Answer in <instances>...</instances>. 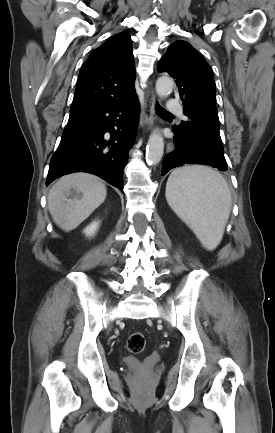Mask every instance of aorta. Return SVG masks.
<instances>
[{
  "label": "aorta",
  "mask_w": 275,
  "mask_h": 433,
  "mask_svg": "<svg viewBox=\"0 0 275 433\" xmlns=\"http://www.w3.org/2000/svg\"><path fill=\"white\" fill-rule=\"evenodd\" d=\"M174 82L170 77L162 76L156 82V92L160 97H166L173 90ZM164 139L158 132L149 137L146 148V159L151 165H157L163 156Z\"/></svg>",
  "instance_id": "762f6f07"
}]
</instances>
